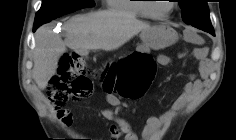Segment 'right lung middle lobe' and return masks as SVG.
<instances>
[{
	"label": "right lung middle lobe",
	"instance_id": "obj_1",
	"mask_svg": "<svg viewBox=\"0 0 236 140\" xmlns=\"http://www.w3.org/2000/svg\"><path fill=\"white\" fill-rule=\"evenodd\" d=\"M94 5L93 0H43L36 14L34 26H40L62 15Z\"/></svg>",
	"mask_w": 236,
	"mask_h": 140
}]
</instances>
